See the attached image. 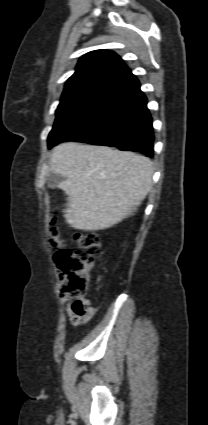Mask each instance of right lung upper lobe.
<instances>
[{
  "label": "right lung upper lobe",
  "mask_w": 208,
  "mask_h": 425,
  "mask_svg": "<svg viewBox=\"0 0 208 425\" xmlns=\"http://www.w3.org/2000/svg\"><path fill=\"white\" fill-rule=\"evenodd\" d=\"M127 70L123 60L112 51L86 53L80 58L75 73L67 80L62 98L83 91L101 92Z\"/></svg>",
  "instance_id": "cb5924a9"
}]
</instances>
